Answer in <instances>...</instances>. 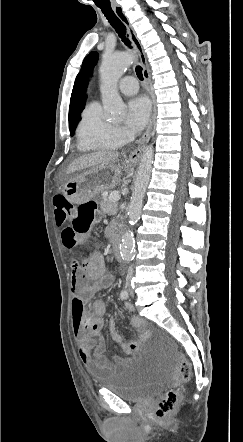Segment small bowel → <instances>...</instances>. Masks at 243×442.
Returning a JSON list of instances; mask_svg holds the SVG:
<instances>
[{
	"label": "small bowel",
	"mask_w": 243,
	"mask_h": 442,
	"mask_svg": "<svg viewBox=\"0 0 243 442\" xmlns=\"http://www.w3.org/2000/svg\"><path fill=\"white\" fill-rule=\"evenodd\" d=\"M72 290H73V330L78 344L79 356L89 373L99 378L125 365L130 359L120 355L109 358L105 355L106 344L100 336L103 329V317L107 312V305L103 301L89 303L92 295L101 289L110 287L114 278L106 273L101 254L93 253L83 262L74 260L71 263ZM131 310V304H126ZM131 325L146 334L144 321L139 317L130 320ZM109 331L112 339L118 343L127 355L137 352L142 342L140 340L126 342L116 329V321L111 318Z\"/></svg>",
	"instance_id": "c3829d8e"
}]
</instances>
